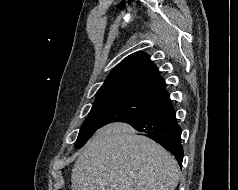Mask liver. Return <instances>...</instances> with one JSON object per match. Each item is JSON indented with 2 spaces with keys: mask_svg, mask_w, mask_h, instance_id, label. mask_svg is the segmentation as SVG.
Here are the masks:
<instances>
[{
  "mask_svg": "<svg viewBox=\"0 0 238 190\" xmlns=\"http://www.w3.org/2000/svg\"><path fill=\"white\" fill-rule=\"evenodd\" d=\"M175 158L128 124L100 128L74 164L71 190H174Z\"/></svg>",
  "mask_w": 238,
  "mask_h": 190,
  "instance_id": "1",
  "label": "liver"
}]
</instances>
